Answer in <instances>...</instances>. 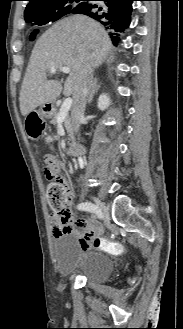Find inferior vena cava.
Masks as SVG:
<instances>
[{
  "label": "inferior vena cava",
  "instance_id": "1",
  "mask_svg": "<svg viewBox=\"0 0 183 329\" xmlns=\"http://www.w3.org/2000/svg\"><path fill=\"white\" fill-rule=\"evenodd\" d=\"M93 87V67L86 62L83 66L78 89L74 93L72 121L74 131H79L80 123L84 118V111L89 93Z\"/></svg>",
  "mask_w": 183,
  "mask_h": 329
}]
</instances>
